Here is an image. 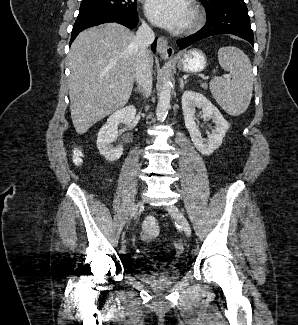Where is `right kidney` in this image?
I'll use <instances>...</instances> for the list:
<instances>
[{
  "label": "right kidney",
  "mask_w": 298,
  "mask_h": 325,
  "mask_svg": "<svg viewBox=\"0 0 298 325\" xmlns=\"http://www.w3.org/2000/svg\"><path fill=\"white\" fill-rule=\"evenodd\" d=\"M137 108L134 104L119 108L113 114H110L105 124L101 126L97 134V146L99 152L105 156L106 160H118L121 154H123V144L113 146L112 142H115L118 136V124H129L136 116Z\"/></svg>",
  "instance_id": "obj_1"
}]
</instances>
